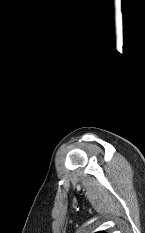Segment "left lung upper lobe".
Masks as SVG:
<instances>
[{"mask_svg":"<svg viewBox=\"0 0 145 233\" xmlns=\"http://www.w3.org/2000/svg\"><path fill=\"white\" fill-rule=\"evenodd\" d=\"M97 233H104V232H101V231H100V232H97Z\"/></svg>","mask_w":145,"mask_h":233,"instance_id":"5c2ea615","label":"left lung upper lobe"}]
</instances>
